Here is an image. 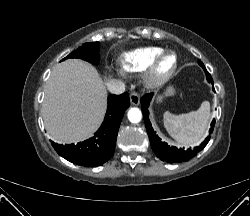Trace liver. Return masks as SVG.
Instances as JSON below:
<instances>
[{
	"label": "liver",
	"instance_id": "obj_1",
	"mask_svg": "<svg viewBox=\"0 0 250 216\" xmlns=\"http://www.w3.org/2000/svg\"><path fill=\"white\" fill-rule=\"evenodd\" d=\"M107 107L105 84L90 64L69 59L57 64L45 86V128L58 143H75L93 135Z\"/></svg>",
	"mask_w": 250,
	"mask_h": 216
}]
</instances>
